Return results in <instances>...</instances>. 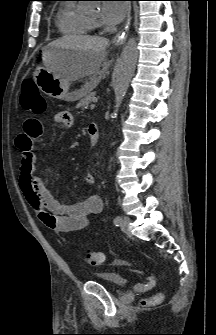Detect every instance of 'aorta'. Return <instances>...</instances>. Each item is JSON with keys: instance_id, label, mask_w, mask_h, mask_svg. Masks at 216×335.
Wrapping results in <instances>:
<instances>
[{"instance_id": "obj_1", "label": "aorta", "mask_w": 216, "mask_h": 335, "mask_svg": "<svg viewBox=\"0 0 216 335\" xmlns=\"http://www.w3.org/2000/svg\"><path fill=\"white\" fill-rule=\"evenodd\" d=\"M138 58L137 42L134 37L128 39L121 53L115 76V103L116 108L113 113V118L117 117L118 107L121 105L131 78L134 74Z\"/></svg>"}]
</instances>
